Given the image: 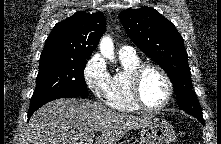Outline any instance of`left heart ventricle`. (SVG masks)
Masks as SVG:
<instances>
[{"mask_svg":"<svg viewBox=\"0 0 221 144\" xmlns=\"http://www.w3.org/2000/svg\"><path fill=\"white\" fill-rule=\"evenodd\" d=\"M167 84L156 70H148L141 80V95L144 102L151 107L163 103L167 96Z\"/></svg>","mask_w":221,"mask_h":144,"instance_id":"1","label":"left heart ventricle"}]
</instances>
